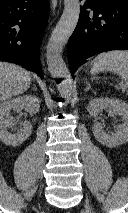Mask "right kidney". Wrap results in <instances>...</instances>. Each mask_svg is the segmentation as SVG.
Instances as JSON below:
<instances>
[{
	"mask_svg": "<svg viewBox=\"0 0 128 213\" xmlns=\"http://www.w3.org/2000/svg\"><path fill=\"white\" fill-rule=\"evenodd\" d=\"M40 100L34 95H23L14 99H9L0 104V140L6 145L19 146L32 133V125L24 122L22 127L16 132H10L9 129L15 125L13 118H5L6 114L13 111H21L26 109L30 114L39 111Z\"/></svg>",
	"mask_w": 128,
	"mask_h": 213,
	"instance_id": "right-kidney-1",
	"label": "right kidney"
}]
</instances>
